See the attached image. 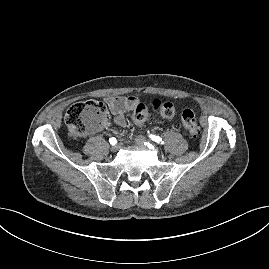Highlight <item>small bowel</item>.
Wrapping results in <instances>:
<instances>
[{"label":"small bowel","mask_w":269,"mask_h":269,"mask_svg":"<svg viewBox=\"0 0 269 269\" xmlns=\"http://www.w3.org/2000/svg\"><path fill=\"white\" fill-rule=\"evenodd\" d=\"M139 99L134 95L120 96V97H108L105 99V103L111 113L114 115L115 123L124 128L126 127L125 114L129 111L135 110ZM109 123L104 121L100 128L108 126Z\"/></svg>","instance_id":"1"}]
</instances>
